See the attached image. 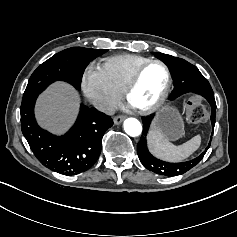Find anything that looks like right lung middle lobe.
I'll use <instances>...</instances> for the list:
<instances>
[{
	"mask_svg": "<svg viewBox=\"0 0 237 237\" xmlns=\"http://www.w3.org/2000/svg\"><path fill=\"white\" fill-rule=\"evenodd\" d=\"M107 51L73 47L55 54L33 72L22 101L38 96L48 85L58 80L66 81L79 90L89 62Z\"/></svg>",
	"mask_w": 237,
	"mask_h": 237,
	"instance_id": "dd1d6c3e",
	"label": "right lung middle lobe"
}]
</instances>
